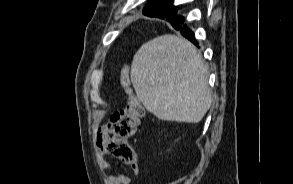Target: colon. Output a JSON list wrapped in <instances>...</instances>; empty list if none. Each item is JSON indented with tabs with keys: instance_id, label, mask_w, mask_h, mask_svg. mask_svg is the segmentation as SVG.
Returning a JSON list of instances; mask_svg holds the SVG:
<instances>
[{
	"instance_id": "5ec220e1",
	"label": "colon",
	"mask_w": 293,
	"mask_h": 184,
	"mask_svg": "<svg viewBox=\"0 0 293 184\" xmlns=\"http://www.w3.org/2000/svg\"><path fill=\"white\" fill-rule=\"evenodd\" d=\"M121 85L127 94V101L124 107L114 113L110 119L102 143V152L132 165L136 163V154L128 139L136 133L144 115V108L130 87L127 66L121 70Z\"/></svg>"
}]
</instances>
